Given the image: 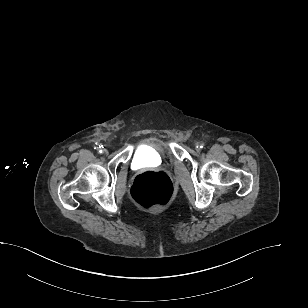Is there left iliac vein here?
Instances as JSON below:
<instances>
[{"label":"left iliac vein","mask_w":308,"mask_h":308,"mask_svg":"<svg viewBox=\"0 0 308 308\" xmlns=\"http://www.w3.org/2000/svg\"><path fill=\"white\" fill-rule=\"evenodd\" d=\"M199 145H200V143H196V144H195V147H196V150H197V151H200Z\"/></svg>","instance_id":"1"}]
</instances>
